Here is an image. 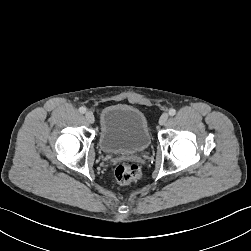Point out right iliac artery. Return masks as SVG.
I'll use <instances>...</instances> for the list:
<instances>
[{"label": "right iliac artery", "instance_id": "right-iliac-artery-1", "mask_svg": "<svg viewBox=\"0 0 251 251\" xmlns=\"http://www.w3.org/2000/svg\"><path fill=\"white\" fill-rule=\"evenodd\" d=\"M79 112L82 113V114L85 113L86 112V108L85 107H80L79 108Z\"/></svg>", "mask_w": 251, "mask_h": 251}]
</instances>
